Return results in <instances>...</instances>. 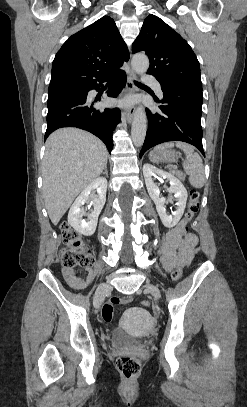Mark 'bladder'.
<instances>
[{"instance_id": "bladder-1", "label": "bladder", "mask_w": 247, "mask_h": 407, "mask_svg": "<svg viewBox=\"0 0 247 407\" xmlns=\"http://www.w3.org/2000/svg\"><path fill=\"white\" fill-rule=\"evenodd\" d=\"M141 337L129 333L123 327H116L111 333V342L116 346H129L140 343Z\"/></svg>"}]
</instances>
